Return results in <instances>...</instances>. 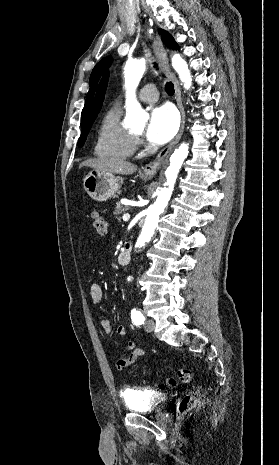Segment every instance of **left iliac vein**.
Instances as JSON below:
<instances>
[{
  "mask_svg": "<svg viewBox=\"0 0 279 465\" xmlns=\"http://www.w3.org/2000/svg\"><path fill=\"white\" fill-rule=\"evenodd\" d=\"M155 328V322L153 319H147L144 323V329L146 332L152 333Z\"/></svg>",
  "mask_w": 279,
  "mask_h": 465,
  "instance_id": "left-iliac-vein-1",
  "label": "left iliac vein"
}]
</instances>
